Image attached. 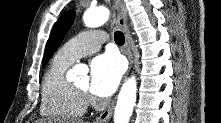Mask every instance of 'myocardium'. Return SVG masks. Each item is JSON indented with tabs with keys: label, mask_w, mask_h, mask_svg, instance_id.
<instances>
[{
	"label": "myocardium",
	"mask_w": 221,
	"mask_h": 123,
	"mask_svg": "<svg viewBox=\"0 0 221 123\" xmlns=\"http://www.w3.org/2000/svg\"><path fill=\"white\" fill-rule=\"evenodd\" d=\"M72 86H73V88L75 89V91H76L79 95H81L83 98L88 97V90H86V89H81V88L77 87L76 85H72Z\"/></svg>",
	"instance_id": "obj_1"
}]
</instances>
